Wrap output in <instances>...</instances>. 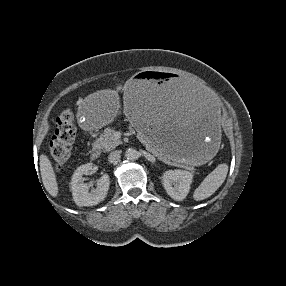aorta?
<instances>
[{
    "label": "aorta",
    "mask_w": 286,
    "mask_h": 286,
    "mask_svg": "<svg viewBox=\"0 0 286 286\" xmlns=\"http://www.w3.org/2000/svg\"><path fill=\"white\" fill-rule=\"evenodd\" d=\"M125 156L128 160H136L139 157V153L134 148H129L126 150Z\"/></svg>",
    "instance_id": "762f6f07"
}]
</instances>
